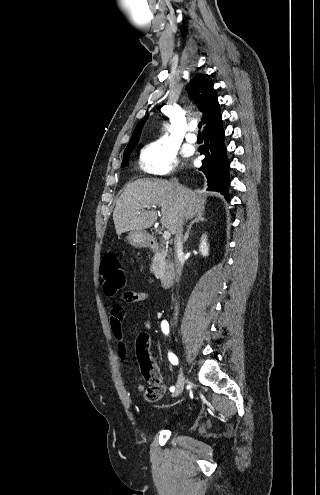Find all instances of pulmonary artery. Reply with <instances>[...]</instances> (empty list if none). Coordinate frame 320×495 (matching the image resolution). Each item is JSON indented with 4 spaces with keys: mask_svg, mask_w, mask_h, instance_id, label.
I'll return each instance as SVG.
<instances>
[{
    "mask_svg": "<svg viewBox=\"0 0 320 495\" xmlns=\"http://www.w3.org/2000/svg\"><path fill=\"white\" fill-rule=\"evenodd\" d=\"M194 130V126L189 127V132L186 134V140L190 143H194L197 141V136L192 132Z\"/></svg>",
    "mask_w": 320,
    "mask_h": 495,
    "instance_id": "obj_1",
    "label": "pulmonary artery"
}]
</instances>
